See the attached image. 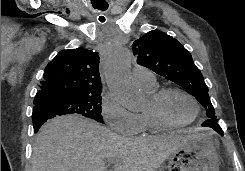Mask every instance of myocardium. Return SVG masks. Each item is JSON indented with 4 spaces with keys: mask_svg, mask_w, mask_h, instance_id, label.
Segmentation results:
<instances>
[{
    "mask_svg": "<svg viewBox=\"0 0 245 171\" xmlns=\"http://www.w3.org/2000/svg\"><path fill=\"white\" fill-rule=\"evenodd\" d=\"M171 92L180 93L185 97H187L192 102L195 108V114L191 120L185 123H174L164 115L162 110L163 99L167 94ZM146 111L148 112L152 120L160 127L165 129H180L193 124L197 120L200 114V106L198 101L195 99V97L190 93H188L186 90L175 86H167V87L157 89L154 93L150 95L149 103Z\"/></svg>",
    "mask_w": 245,
    "mask_h": 171,
    "instance_id": "obj_1",
    "label": "myocardium"
}]
</instances>
